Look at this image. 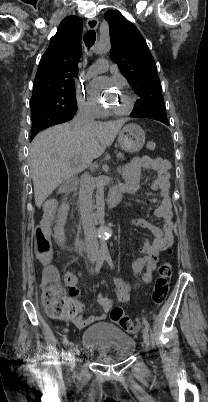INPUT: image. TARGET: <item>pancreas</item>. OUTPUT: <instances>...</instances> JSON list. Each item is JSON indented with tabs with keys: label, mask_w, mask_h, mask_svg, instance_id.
Returning <instances> with one entry per match:
<instances>
[{
	"label": "pancreas",
	"mask_w": 208,
	"mask_h": 402,
	"mask_svg": "<svg viewBox=\"0 0 208 402\" xmlns=\"http://www.w3.org/2000/svg\"><path fill=\"white\" fill-rule=\"evenodd\" d=\"M117 158H119V160H124V156H123V154H121V152H119V154H117Z\"/></svg>",
	"instance_id": "pancreas-1"
}]
</instances>
